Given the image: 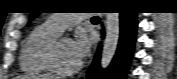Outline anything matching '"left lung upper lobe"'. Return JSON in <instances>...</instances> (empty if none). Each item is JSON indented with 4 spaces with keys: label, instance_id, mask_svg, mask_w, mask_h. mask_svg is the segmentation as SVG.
<instances>
[{
    "label": "left lung upper lobe",
    "instance_id": "left-lung-upper-lobe-1",
    "mask_svg": "<svg viewBox=\"0 0 177 79\" xmlns=\"http://www.w3.org/2000/svg\"><path fill=\"white\" fill-rule=\"evenodd\" d=\"M40 13L38 12H32L31 16H30V21L33 20L37 15H39Z\"/></svg>",
    "mask_w": 177,
    "mask_h": 79
}]
</instances>
